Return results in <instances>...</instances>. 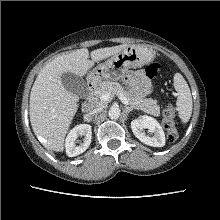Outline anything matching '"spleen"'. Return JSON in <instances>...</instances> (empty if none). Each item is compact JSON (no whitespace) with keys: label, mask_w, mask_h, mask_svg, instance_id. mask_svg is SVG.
<instances>
[{"label":"spleen","mask_w":220,"mask_h":220,"mask_svg":"<svg viewBox=\"0 0 220 220\" xmlns=\"http://www.w3.org/2000/svg\"><path fill=\"white\" fill-rule=\"evenodd\" d=\"M174 87L178 93L176 101L178 116L183 123H187L192 115V96L187 82L180 73L174 75Z\"/></svg>","instance_id":"spleen-1"}]
</instances>
